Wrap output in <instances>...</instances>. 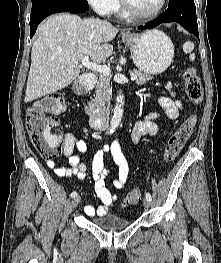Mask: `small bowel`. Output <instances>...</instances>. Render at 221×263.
Here are the masks:
<instances>
[{
    "label": "small bowel",
    "mask_w": 221,
    "mask_h": 263,
    "mask_svg": "<svg viewBox=\"0 0 221 263\" xmlns=\"http://www.w3.org/2000/svg\"><path fill=\"white\" fill-rule=\"evenodd\" d=\"M167 89L170 90V87L167 86ZM158 101L171 118L178 117L182 110V104L178 100L161 96ZM155 117V115H149L134 125L132 131V139L134 142H138L139 138L143 135L155 137L158 134V125L154 121ZM87 151L88 146L86 142L78 139L75 133L68 132L65 135L63 154L67 158L69 166L56 167V163L53 160H47L46 165L54 169V173L58 177L84 179L86 177V166L81 161L80 154L86 153ZM107 153L112 155L115 164L118 166V175L113 179L112 185L117 189H121L127 181L129 165L120 145L115 142L111 146H104L98 150L92 159V179L95 194L100 199L101 205L97 208L86 206L84 211L88 216L105 215L114 209L116 205L117 198L109 191L106 183L109 172L104 168V159Z\"/></svg>",
    "instance_id": "c3829d8e"
}]
</instances>
